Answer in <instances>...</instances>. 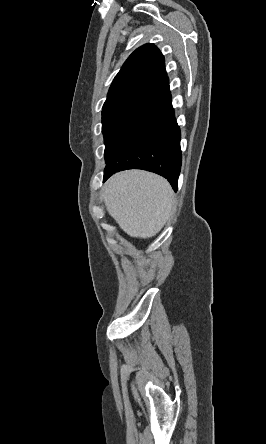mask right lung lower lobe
I'll list each match as a JSON object with an SVG mask.
<instances>
[{"label": "right lung lower lobe", "mask_w": 266, "mask_h": 444, "mask_svg": "<svg viewBox=\"0 0 266 444\" xmlns=\"http://www.w3.org/2000/svg\"><path fill=\"white\" fill-rule=\"evenodd\" d=\"M180 129L168 104L106 161L104 181L126 169H143L165 177L177 191L181 169Z\"/></svg>", "instance_id": "obj_1"}]
</instances>
